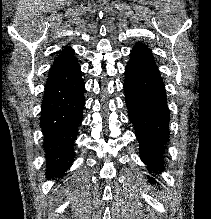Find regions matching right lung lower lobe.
<instances>
[{
	"instance_id": "1",
	"label": "right lung lower lobe",
	"mask_w": 211,
	"mask_h": 219,
	"mask_svg": "<svg viewBox=\"0 0 211 219\" xmlns=\"http://www.w3.org/2000/svg\"><path fill=\"white\" fill-rule=\"evenodd\" d=\"M84 89L76 59L62 65L48 77L40 118L48 178L62 175L74 161L73 143L82 122Z\"/></svg>"
}]
</instances>
